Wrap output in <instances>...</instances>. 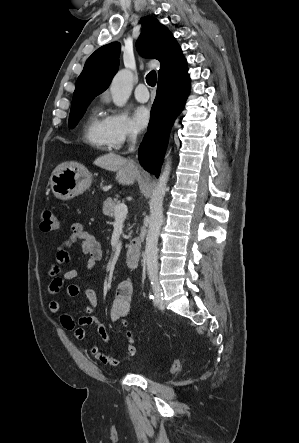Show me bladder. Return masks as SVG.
<instances>
[{
    "instance_id": "bladder-1",
    "label": "bladder",
    "mask_w": 299,
    "mask_h": 443,
    "mask_svg": "<svg viewBox=\"0 0 299 443\" xmlns=\"http://www.w3.org/2000/svg\"><path fill=\"white\" fill-rule=\"evenodd\" d=\"M142 374L149 380H155L157 378V375L150 371H144Z\"/></svg>"
}]
</instances>
